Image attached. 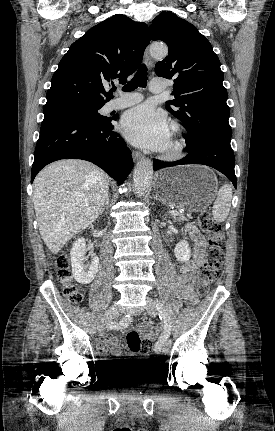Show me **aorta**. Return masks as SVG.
I'll return each mask as SVG.
<instances>
[{
	"instance_id": "762f6f07",
	"label": "aorta",
	"mask_w": 275,
	"mask_h": 431,
	"mask_svg": "<svg viewBox=\"0 0 275 431\" xmlns=\"http://www.w3.org/2000/svg\"><path fill=\"white\" fill-rule=\"evenodd\" d=\"M168 48L165 45L153 44L150 47V54L156 59H162L166 57ZM153 175V163L150 159H141L133 173V185L137 196H144L148 191L151 178Z\"/></svg>"
}]
</instances>
